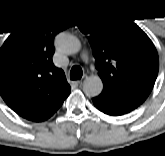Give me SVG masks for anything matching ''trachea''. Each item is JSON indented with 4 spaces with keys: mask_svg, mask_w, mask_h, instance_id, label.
Instances as JSON below:
<instances>
[{
    "mask_svg": "<svg viewBox=\"0 0 165 156\" xmlns=\"http://www.w3.org/2000/svg\"><path fill=\"white\" fill-rule=\"evenodd\" d=\"M83 71L80 66H73L70 71V76L72 80H77L82 77Z\"/></svg>",
    "mask_w": 165,
    "mask_h": 156,
    "instance_id": "trachea-1",
    "label": "trachea"
}]
</instances>
